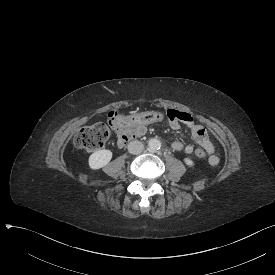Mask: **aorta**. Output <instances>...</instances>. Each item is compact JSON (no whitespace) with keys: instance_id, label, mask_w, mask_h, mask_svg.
Returning <instances> with one entry per match:
<instances>
[{"instance_id":"1","label":"aorta","mask_w":275,"mask_h":275,"mask_svg":"<svg viewBox=\"0 0 275 275\" xmlns=\"http://www.w3.org/2000/svg\"><path fill=\"white\" fill-rule=\"evenodd\" d=\"M148 146L152 151H156V150L160 149L161 142H160V140H158L156 138H152L149 140Z\"/></svg>"}]
</instances>
